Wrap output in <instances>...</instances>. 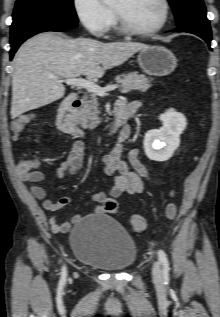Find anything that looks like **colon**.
I'll list each match as a JSON object with an SVG mask.
<instances>
[{
	"mask_svg": "<svg viewBox=\"0 0 220 317\" xmlns=\"http://www.w3.org/2000/svg\"><path fill=\"white\" fill-rule=\"evenodd\" d=\"M31 121L30 115H22L15 119L12 128L16 133L23 131ZM174 196V192L170 193ZM104 210L107 213H115L118 210V204L114 199L109 198L104 204ZM165 215L168 221H173L177 216V206L174 202H168L165 207ZM130 226L136 233H144L147 229V221L140 215H132L130 218Z\"/></svg>",
	"mask_w": 220,
	"mask_h": 317,
	"instance_id": "obj_1",
	"label": "colon"
}]
</instances>
